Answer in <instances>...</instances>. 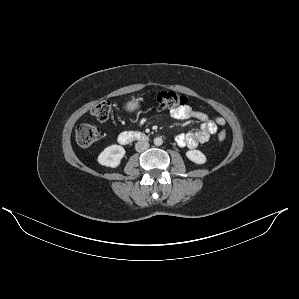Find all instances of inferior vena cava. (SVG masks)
<instances>
[{
  "label": "inferior vena cava",
  "instance_id": "inferior-vena-cava-1",
  "mask_svg": "<svg viewBox=\"0 0 299 299\" xmlns=\"http://www.w3.org/2000/svg\"><path fill=\"white\" fill-rule=\"evenodd\" d=\"M149 143L147 141H138L136 144H135V149L137 152H142V151H145L149 148Z\"/></svg>",
  "mask_w": 299,
  "mask_h": 299
}]
</instances>
